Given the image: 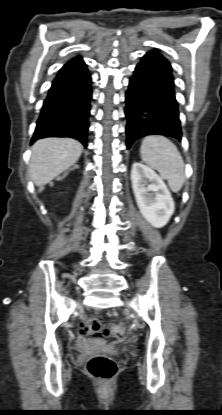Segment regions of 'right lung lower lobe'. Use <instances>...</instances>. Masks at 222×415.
I'll list each match as a JSON object with an SVG mask.
<instances>
[{"mask_svg":"<svg viewBox=\"0 0 222 415\" xmlns=\"http://www.w3.org/2000/svg\"><path fill=\"white\" fill-rule=\"evenodd\" d=\"M91 76L81 57L67 62L48 91L31 143L46 136L71 137L87 146Z\"/></svg>","mask_w":222,"mask_h":415,"instance_id":"1","label":"right lung lower lobe"}]
</instances>
